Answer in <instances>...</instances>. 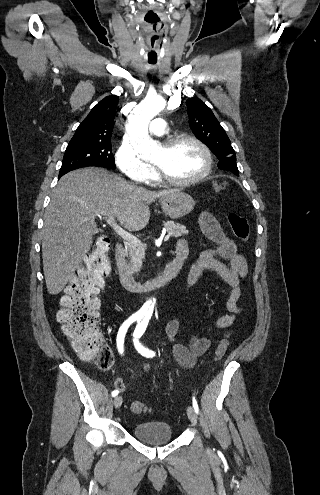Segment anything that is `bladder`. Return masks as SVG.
<instances>
[{"mask_svg": "<svg viewBox=\"0 0 320 495\" xmlns=\"http://www.w3.org/2000/svg\"><path fill=\"white\" fill-rule=\"evenodd\" d=\"M134 436L148 444L168 443L173 438L171 426L162 421H147L136 424L133 428Z\"/></svg>", "mask_w": 320, "mask_h": 495, "instance_id": "1", "label": "bladder"}]
</instances>
